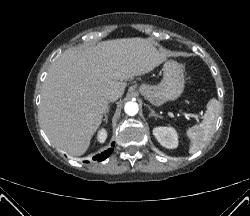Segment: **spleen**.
Returning <instances> with one entry per match:
<instances>
[{
    "label": "spleen",
    "instance_id": "obj_1",
    "mask_svg": "<svg viewBox=\"0 0 250 216\" xmlns=\"http://www.w3.org/2000/svg\"><path fill=\"white\" fill-rule=\"evenodd\" d=\"M219 110L220 104L218 100L215 98L210 99L202 122L186 130V135L191 141L189 147L190 154H194L204 148L210 141L215 131Z\"/></svg>",
    "mask_w": 250,
    "mask_h": 216
}]
</instances>
